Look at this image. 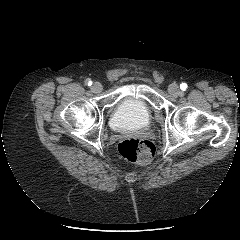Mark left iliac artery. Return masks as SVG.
<instances>
[{
    "label": "left iliac artery",
    "mask_w": 240,
    "mask_h": 240,
    "mask_svg": "<svg viewBox=\"0 0 240 240\" xmlns=\"http://www.w3.org/2000/svg\"><path fill=\"white\" fill-rule=\"evenodd\" d=\"M180 88H181L183 91L186 90L187 84L182 83V84L180 85Z\"/></svg>",
    "instance_id": "44dca946"
}]
</instances>
